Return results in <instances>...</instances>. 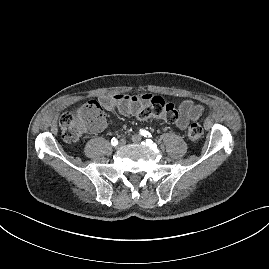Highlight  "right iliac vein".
Segmentation results:
<instances>
[{
  "instance_id": "obj_1",
  "label": "right iliac vein",
  "mask_w": 269,
  "mask_h": 269,
  "mask_svg": "<svg viewBox=\"0 0 269 269\" xmlns=\"http://www.w3.org/2000/svg\"><path fill=\"white\" fill-rule=\"evenodd\" d=\"M126 144V141L124 139H121L120 141H118L116 143V145L114 146V150L118 151L119 148H121L122 146H124Z\"/></svg>"
}]
</instances>
